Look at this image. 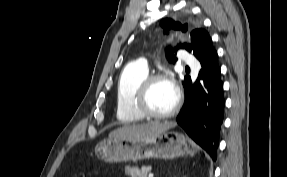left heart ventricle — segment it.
I'll return each mask as SVG.
<instances>
[{
	"label": "left heart ventricle",
	"instance_id": "b2bd125f",
	"mask_svg": "<svg viewBox=\"0 0 287 177\" xmlns=\"http://www.w3.org/2000/svg\"><path fill=\"white\" fill-rule=\"evenodd\" d=\"M176 99L173 86L167 81H158L151 87L147 105L155 113H163L170 110Z\"/></svg>",
	"mask_w": 287,
	"mask_h": 177
}]
</instances>
